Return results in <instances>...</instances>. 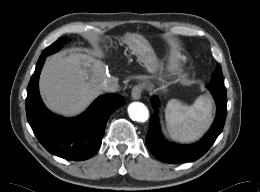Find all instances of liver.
<instances>
[{
	"instance_id": "obj_1",
	"label": "liver",
	"mask_w": 260,
	"mask_h": 192,
	"mask_svg": "<svg viewBox=\"0 0 260 192\" xmlns=\"http://www.w3.org/2000/svg\"><path fill=\"white\" fill-rule=\"evenodd\" d=\"M130 39L131 36L127 42ZM145 66L153 72L158 65L155 59ZM106 78L107 69L101 60L70 51L47 58L39 88L49 109L62 115H74L100 94V85Z\"/></svg>"
}]
</instances>
